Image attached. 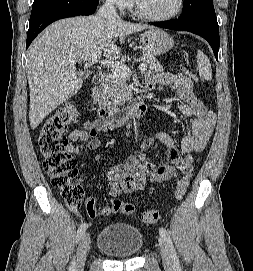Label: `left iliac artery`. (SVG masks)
Segmentation results:
<instances>
[{
    "label": "left iliac artery",
    "mask_w": 253,
    "mask_h": 271,
    "mask_svg": "<svg viewBox=\"0 0 253 271\" xmlns=\"http://www.w3.org/2000/svg\"><path fill=\"white\" fill-rule=\"evenodd\" d=\"M159 233L162 236V238L167 242V244H168V246L170 248L171 256H172V260H173L175 270L176 271H181L179 258L177 256V253L175 251L173 242H172V240L170 238V235H169L168 231L165 228L161 227V228H159Z\"/></svg>",
    "instance_id": "left-iliac-artery-1"
}]
</instances>
